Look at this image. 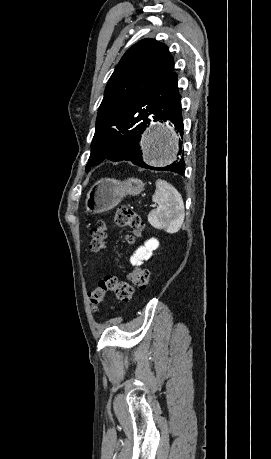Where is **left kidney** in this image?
I'll use <instances>...</instances> for the list:
<instances>
[{"label": "left kidney", "instance_id": "obj_1", "mask_svg": "<svg viewBox=\"0 0 271 459\" xmlns=\"http://www.w3.org/2000/svg\"><path fill=\"white\" fill-rule=\"evenodd\" d=\"M159 245L158 239L155 237H151V239H147L144 245H140L138 249H136L135 253L131 255L130 261L132 265H141L143 263V259H149L152 255L153 249H157Z\"/></svg>", "mask_w": 271, "mask_h": 459}]
</instances>
